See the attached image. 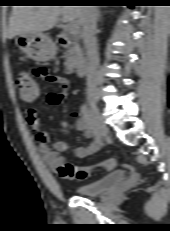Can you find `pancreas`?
<instances>
[{"label":"pancreas","instance_id":"cf45deb5","mask_svg":"<svg viewBox=\"0 0 170 231\" xmlns=\"http://www.w3.org/2000/svg\"><path fill=\"white\" fill-rule=\"evenodd\" d=\"M68 37L72 40L71 47L65 52V67L67 70L71 71L75 69L81 60L82 51L79 43L73 35L68 32Z\"/></svg>","mask_w":170,"mask_h":231}]
</instances>
